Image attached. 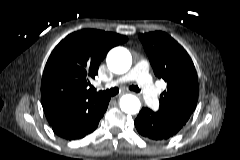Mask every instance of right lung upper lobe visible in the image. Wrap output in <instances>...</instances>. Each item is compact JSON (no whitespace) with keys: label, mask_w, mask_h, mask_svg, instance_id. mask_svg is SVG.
Instances as JSON below:
<instances>
[{"label":"right lung upper lobe","mask_w":240,"mask_h":160,"mask_svg":"<svg viewBox=\"0 0 240 160\" xmlns=\"http://www.w3.org/2000/svg\"><path fill=\"white\" fill-rule=\"evenodd\" d=\"M127 40L116 33L85 29L71 33L54 48L41 80V101L50 125L106 98L94 92L90 81L107 52Z\"/></svg>","instance_id":"1"}]
</instances>
